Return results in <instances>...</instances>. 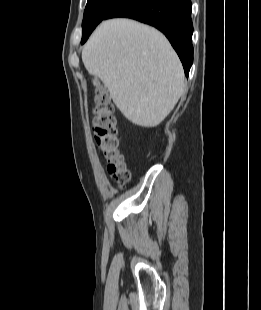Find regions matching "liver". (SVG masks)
<instances>
[{
	"mask_svg": "<svg viewBox=\"0 0 261 310\" xmlns=\"http://www.w3.org/2000/svg\"><path fill=\"white\" fill-rule=\"evenodd\" d=\"M82 61L121 113L138 126L159 125L184 91L183 67L169 41L134 20L102 22L83 47Z\"/></svg>",
	"mask_w": 261,
	"mask_h": 310,
	"instance_id": "obj_1",
	"label": "liver"
}]
</instances>
